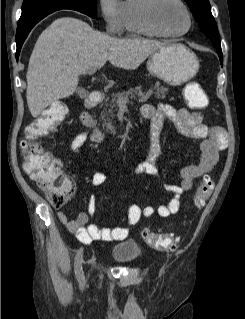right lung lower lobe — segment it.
<instances>
[{"label":"right lung lower lobe","instance_id":"obj_1","mask_svg":"<svg viewBox=\"0 0 245 319\" xmlns=\"http://www.w3.org/2000/svg\"><path fill=\"white\" fill-rule=\"evenodd\" d=\"M45 17V16H44ZM44 17L32 20L30 22H28L25 25L22 26H18L17 27V32H16V44H17V52H16V58L18 59L19 54H20V50L21 47L25 41V39L27 38L29 32L31 31V29Z\"/></svg>","mask_w":245,"mask_h":319}]
</instances>
